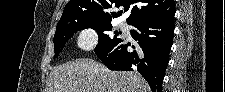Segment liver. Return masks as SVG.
Wrapping results in <instances>:
<instances>
[{"label": "liver", "mask_w": 225, "mask_h": 92, "mask_svg": "<svg viewBox=\"0 0 225 92\" xmlns=\"http://www.w3.org/2000/svg\"><path fill=\"white\" fill-rule=\"evenodd\" d=\"M147 82L137 72L110 71L89 58H79L54 67L46 92H149Z\"/></svg>", "instance_id": "obj_1"}]
</instances>
